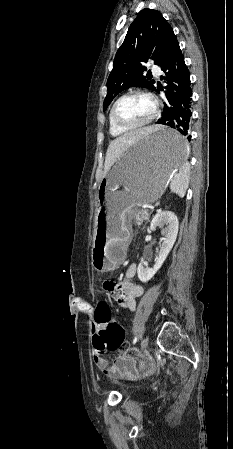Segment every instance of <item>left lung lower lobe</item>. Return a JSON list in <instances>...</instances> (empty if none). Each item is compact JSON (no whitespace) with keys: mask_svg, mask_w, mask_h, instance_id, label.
Listing matches in <instances>:
<instances>
[{"mask_svg":"<svg viewBox=\"0 0 233 449\" xmlns=\"http://www.w3.org/2000/svg\"><path fill=\"white\" fill-rule=\"evenodd\" d=\"M161 70L165 73L161 79L167 83L165 87L166 101L162 116L157 123L174 129L173 133L163 136L162 143L171 151H179L184 146L183 141L188 143L191 140L189 132L192 116L190 73L180 48L161 67ZM155 91L158 92L156 89Z\"/></svg>","mask_w":233,"mask_h":449,"instance_id":"obj_1","label":"left lung lower lobe"}]
</instances>
